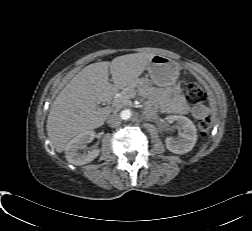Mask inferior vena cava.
Segmentation results:
<instances>
[{
	"mask_svg": "<svg viewBox=\"0 0 252 231\" xmlns=\"http://www.w3.org/2000/svg\"><path fill=\"white\" fill-rule=\"evenodd\" d=\"M106 122L110 127L115 128L121 124V118L118 114L114 113L108 117Z\"/></svg>",
	"mask_w": 252,
	"mask_h": 231,
	"instance_id": "obj_1",
	"label": "inferior vena cava"
}]
</instances>
